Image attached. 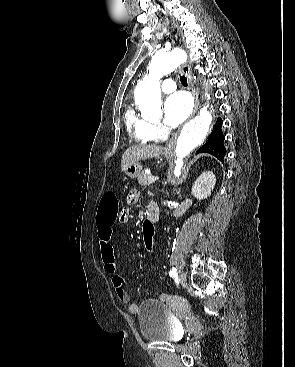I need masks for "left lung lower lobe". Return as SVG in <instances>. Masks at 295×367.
<instances>
[{
	"mask_svg": "<svg viewBox=\"0 0 295 367\" xmlns=\"http://www.w3.org/2000/svg\"><path fill=\"white\" fill-rule=\"evenodd\" d=\"M222 123V119L218 118L213 131L208 137L207 142L200 149H198L197 153H209L223 162V158L226 154V149L223 145L225 137L221 130Z\"/></svg>",
	"mask_w": 295,
	"mask_h": 367,
	"instance_id": "0a47b994",
	"label": "left lung lower lobe"
}]
</instances>
